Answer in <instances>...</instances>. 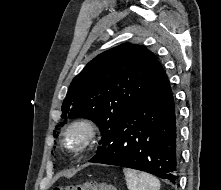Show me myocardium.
<instances>
[{"instance_id":"myocardium-1","label":"myocardium","mask_w":221,"mask_h":190,"mask_svg":"<svg viewBox=\"0 0 221 190\" xmlns=\"http://www.w3.org/2000/svg\"><path fill=\"white\" fill-rule=\"evenodd\" d=\"M71 133H78L80 141L77 144H70L68 137ZM97 126L89 118L80 117L70 121L61 135V144L64 148L72 152H83L87 150L95 140Z\"/></svg>"}]
</instances>
